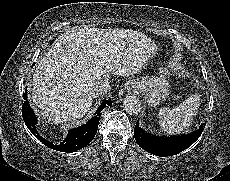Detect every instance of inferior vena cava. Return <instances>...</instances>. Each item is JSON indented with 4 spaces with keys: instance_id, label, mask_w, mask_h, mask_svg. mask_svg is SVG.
I'll use <instances>...</instances> for the list:
<instances>
[{
    "instance_id": "inferior-vena-cava-1",
    "label": "inferior vena cava",
    "mask_w": 230,
    "mask_h": 181,
    "mask_svg": "<svg viewBox=\"0 0 230 181\" xmlns=\"http://www.w3.org/2000/svg\"><path fill=\"white\" fill-rule=\"evenodd\" d=\"M109 90H110L109 83L95 84L91 88V94L93 97H99L107 93Z\"/></svg>"
}]
</instances>
